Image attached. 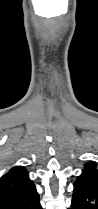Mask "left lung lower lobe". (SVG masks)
<instances>
[{"label":"left lung lower lobe","instance_id":"obj_1","mask_svg":"<svg viewBox=\"0 0 98 209\" xmlns=\"http://www.w3.org/2000/svg\"><path fill=\"white\" fill-rule=\"evenodd\" d=\"M70 209H98V186L85 180H76Z\"/></svg>","mask_w":98,"mask_h":209}]
</instances>
